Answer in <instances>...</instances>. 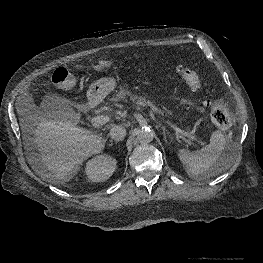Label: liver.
Here are the masks:
<instances>
[{
	"mask_svg": "<svg viewBox=\"0 0 263 263\" xmlns=\"http://www.w3.org/2000/svg\"><path fill=\"white\" fill-rule=\"evenodd\" d=\"M33 108H18V114L28 161L42 178L55 184L68 181L87 158L103 151L106 140L101 135L70 121L57 122L37 111L33 113ZM30 133L34 135L37 157L29 153Z\"/></svg>",
	"mask_w": 263,
	"mask_h": 263,
	"instance_id": "liver-1",
	"label": "liver"
}]
</instances>
